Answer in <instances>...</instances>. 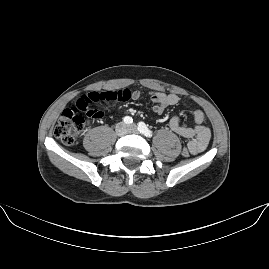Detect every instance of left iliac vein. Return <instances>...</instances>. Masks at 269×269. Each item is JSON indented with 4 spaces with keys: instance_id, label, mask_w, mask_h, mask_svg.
I'll return each mask as SVG.
<instances>
[{
    "instance_id": "obj_1",
    "label": "left iliac vein",
    "mask_w": 269,
    "mask_h": 269,
    "mask_svg": "<svg viewBox=\"0 0 269 269\" xmlns=\"http://www.w3.org/2000/svg\"><path fill=\"white\" fill-rule=\"evenodd\" d=\"M128 132L129 133H136V132H138V127L136 125H130V126H128Z\"/></svg>"
}]
</instances>
